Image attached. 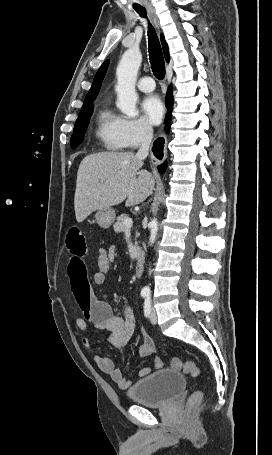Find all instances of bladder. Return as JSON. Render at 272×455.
<instances>
[{"label":"bladder","instance_id":"1","mask_svg":"<svg viewBox=\"0 0 272 455\" xmlns=\"http://www.w3.org/2000/svg\"><path fill=\"white\" fill-rule=\"evenodd\" d=\"M185 387L184 376L162 369L139 380L128 391L131 400L150 407H162L173 401Z\"/></svg>","mask_w":272,"mask_h":455}]
</instances>
